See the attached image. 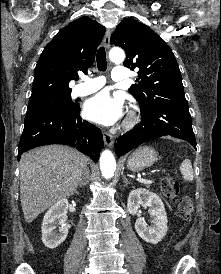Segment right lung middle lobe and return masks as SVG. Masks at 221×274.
<instances>
[{"label":"right lung middle lobe","instance_id":"obj_1","mask_svg":"<svg viewBox=\"0 0 221 274\" xmlns=\"http://www.w3.org/2000/svg\"><path fill=\"white\" fill-rule=\"evenodd\" d=\"M70 94H59L30 100L26 115L56 108L75 109L78 104L71 100Z\"/></svg>","mask_w":221,"mask_h":274}]
</instances>
